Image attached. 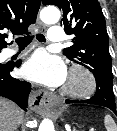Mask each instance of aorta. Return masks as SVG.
Masks as SVG:
<instances>
[{
	"instance_id": "762f6f07",
	"label": "aorta",
	"mask_w": 117,
	"mask_h": 131,
	"mask_svg": "<svg viewBox=\"0 0 117 131\" xmlns=\"http://www.w3.org/2000/svg\"><path fill=\"white\" fill-rule=\"evenodd\" d=\"M60 16H61L60 11L56 7L43 8L40 13L41 20L47 24L57 23L60 19ZM38 131H54L53 122L48 118L43 119L42 122L40 123Z\"/></svg>"
}]
</instances>
